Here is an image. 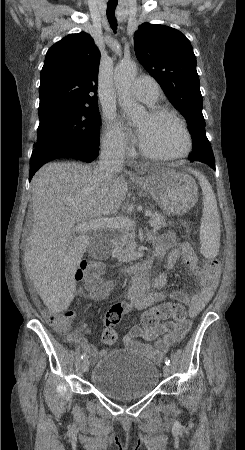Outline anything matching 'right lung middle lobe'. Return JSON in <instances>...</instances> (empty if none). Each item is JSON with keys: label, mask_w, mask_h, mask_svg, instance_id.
I'll list each match as a JSON object with an SVG mask.
<instances>
[{"label": "right lung middle lobe", "mask_w": 245, "mask_h": 450, "mask_svg": "<svg viewBox=\"0 0 245 450\" xmlns=\"http://www.w3.org/2000/svg\"><path fill=\"white\" fill-rule=\"evenodd\" d=\"M37 144L31 158L55 153L98 148V105L76 106L57 103L39 108Z\"/></svg>", "instance_id": "1"}]
</instances>
